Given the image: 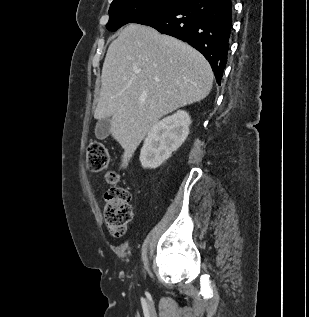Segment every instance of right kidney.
<instances>
[{
	"label": "right kidney",
	"mask_w": 309,
	"mask_h": 317,
	"mask_svg": "<svg viewBox=\"0 0 309 317\" xmlns=\"http://www.w3.org/2000/svg\"><path fill=\"white\" fill-rule=\"evenodd\" d=\"M191 117L184 110H178L155 123L148 131L140 153L144 169H155L166 161L186 140Z\"/></svg>",
	"instance_id": "1"
}]
</instances>
